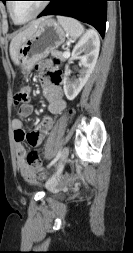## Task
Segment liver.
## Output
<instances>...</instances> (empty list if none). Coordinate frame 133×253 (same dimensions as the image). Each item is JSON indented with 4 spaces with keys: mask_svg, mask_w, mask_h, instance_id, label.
I'll return each mask as SVG.
<instances>
[{
    "mask_svg": "<svg viewBox=\"0 0 133 253\" xmlns=\"http://www.w3.org/2000/svg\"><path fill=\"white\" fill-rule=\"evenodd\" d=\"M45 19H47V17H43L31 22L26 29L19 32L16 36L13 37L10 43V56L14 63H17L18 50L21 45L35 33L40 23Z\"/></svg>",
    "mask_w": 133,
    "mask_h": 253,
    "instance_id": "1",
    "label": "liver"
}]
</instances>
